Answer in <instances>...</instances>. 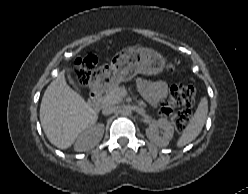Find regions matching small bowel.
<instances>
[{
  "mask_svg": "<svg viewBox=\"0 0 248 194\" xmlns=\"http://www.w3.org/2000/svg\"><path fill=\"white\" fill-rule=\"evenodd\" d=\"M143 96L154 106L159 105L167 96V84L161 80H143L137 82Z\"/></svg>",
  "mask_w": 248,
  "mask_h": 194,
  "instance_id": "c3829d8e",
  "label": "small bowel"
}]
</instances>
